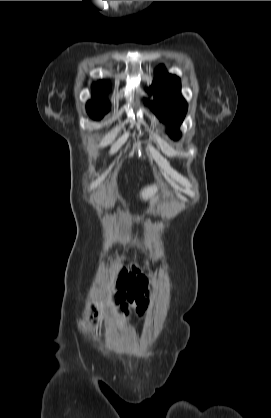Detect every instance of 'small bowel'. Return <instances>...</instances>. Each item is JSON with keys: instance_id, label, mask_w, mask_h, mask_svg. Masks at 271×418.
Wrapping results in <instances>:
<instances>
[{"instance_id": "c3829d8e", "label": "small bowel", "mask_w": 271, "mask_h": 418, "mask_svg": "<svg viewBox=\"0 0 271 418\" xmlns=\"http://www.w3.org/2000/svg\"><path fill=\"white\" fill-rule=\"evenodd\" d=\"M149 279L136 271L127 273L121 272L118 275L116 291L111 297V302H126L121 312L123 314H134L135 307L140 312H145L149 308Z\"/></svg>"}]
</instances>
